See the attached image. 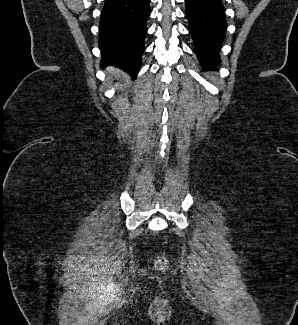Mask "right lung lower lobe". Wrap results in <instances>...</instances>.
I'll return each mask as SVG.
<instances>
[{
  "label": "right lung lower lobe",
  "instance_id": "obj_1",
  "mask_svg": "<svg viewBox=\"0 0 298 325\" xmlns=\"http://www.w3.org/2000/svg\"><path fill=\"white\" fill-rule=\"evenodd\" d=\"M149 14V0H105L98 42L102 67L113 65L136 76Z\"/></svg>",
  "mask_w": 298,
  "mask_h": 325
}]
</instances>
